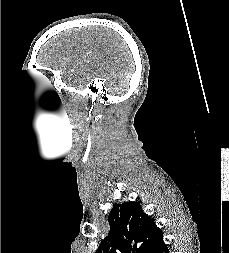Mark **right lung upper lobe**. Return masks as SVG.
Returning <instances> with one entry per match:
<instances>
[{
    "mask_svg": "<svg viewBox=\"0 0 229 253\" xmlns=\"http://www.w3.org/2000/svg\"><path fill=\"white\" fill-rule=\"evenodd\" d=\"M108 222L110 232L95 253H151L163 239L155 220L137 202L113 205Z\"/></svg>",
    "mask_w": 229,
    "mask_h": 253,
    "instance_id": "right-lung-upper-lobe-1",
    "label": "right lung upper lobe"
}]
</instances>
